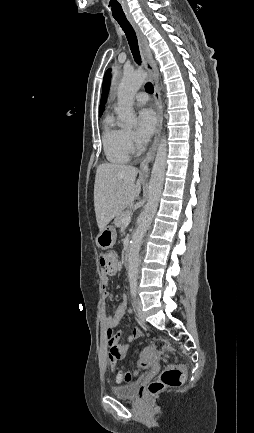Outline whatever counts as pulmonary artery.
I'll return each instance as SVG.
<instances>
[{
	"label": "pulmonary artery",
	"instance_id": "pulmonary-artery-1",
	"mask_svg": "<svg viewBox=\"0 0 254 433\" xmlns=\"http://www.w3.org/2000/svg\"><path fill=\"white\" fill-rule=\"evenodd\" d=\"M135 101L137 105H144L148 101V94L145 92H139L135 96Z\"/></svg>",
	"mask_w": 254,
	"mask_h": 433
}]
</instances>
